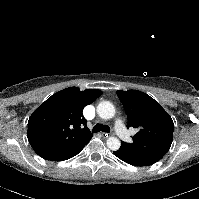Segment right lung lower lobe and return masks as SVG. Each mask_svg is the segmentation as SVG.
<instances>
[{"label":"right lung lower lobe","mask_w":199,"mask_h":199,"mask_svg":"<svg viewBox=\"0 0 199 199\" xmlns=\"http://www.w3.org/2000/svg\"><path fill=\"white\" fill-rule=\"evenodd\" d=\"M91 138L81 141L78 144H76L68 149H65L63 151H60L57 153H52V154H44V155H40V156L42 158H44L46 160H50V161H63V160L70 159V158L74 157L75 155H77L78 153H80L82 151V149L84 148V146L90 141Z\"/></svg>","instance_id":"98d812e1"}]
</instances>
